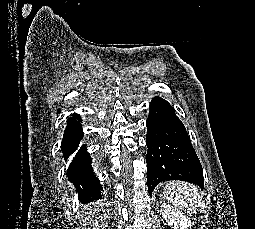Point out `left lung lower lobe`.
Returning a JSON list of instances; mask_svg holds the SVG:
<instances>
[{
  "instance_id": "0a47b994",
  "label": "left lung lower lobe",
  "mask_w": 255,
  "mask_h": 229,
  "mask_svg": "<svg viewBox=\"0 0 255 229\" xmlns=\"http://www.w3.org/2000/svg\"><path fill=\"white\" fill-rule=\"evenodd\" d=\"M147 118L149 194L162 181L183 180L204 188L203 169L183 123L168 101L156 96Z\"/></svg>"
}]
</instances>
